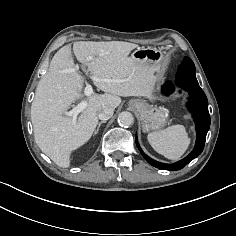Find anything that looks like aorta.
<instances>
[{"label": "aorta", "mask_w": 236, "mask_h": 236, "mask_svg": "<svg viewBox=\"0 0 236 236\" xmlns=\"http://www.w3.org/2000/svg\"><path fill=\"white\" fill-rule=\"evenodd\" d=\"M118 123L122 127H128L134 123L133 115L128 111H123L118 115Z\"/></svg>", "instance_id": "1"}]
</instances>
